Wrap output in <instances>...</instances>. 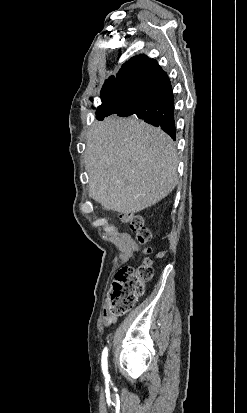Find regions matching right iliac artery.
I'll return each instance as SVG.
<instances>
[{"label":"right iliac artery","instance_id":"82829eb1","mask_svg":"<svg viewBox=\"0 0 247 413\" xmlns=\"http://www.w3.org/2000/svg\"><path fill=\"white\" fill-rule=\"evenodd\" d=\"M107 356H108V349L107 347L104 348L103 352H102V370H103V374L105 377L108 376V364H107Z\"/></svg>","mask_w":247,"mask_h":413}]
</instances>
